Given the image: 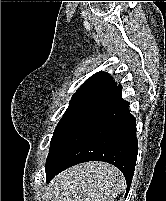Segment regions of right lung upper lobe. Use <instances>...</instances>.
Returning <instances> with one entry per match:
<instances>
[{
    "label": "right lung upper lobe",
    "mask_w": 166,
    "mask_h": 201,
    "mask_svg": "<svg viewBox=\"0 0 166 201\" xmlns=\"http://www.w3.org/2000/svg\"><path fill=\"white\" fill-rule=\"evenodd\" d=\"M116 87V83L108 73H96L82 84L73 95L72 100L88 97H107Z\"/></svg>",
    "instance_id": "1"
}]
</instances>
